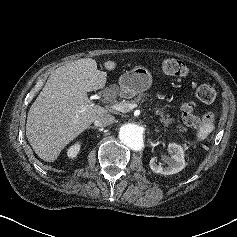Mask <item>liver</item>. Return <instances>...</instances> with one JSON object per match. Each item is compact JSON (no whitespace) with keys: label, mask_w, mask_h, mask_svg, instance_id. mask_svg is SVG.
<instances>
[{"label":"liver","mask_w":237,"mask_h":237,"mask_svg":"<svg viewBox=\"0 0 237 237\" xmlns=\"http://www.w3.org/2000/svg\"><path fill=\"white\" fill-rule=\"evenodd\" d=\"M116 66L114 61L104 62L108 71ZM106 81L107 73L98 70L92 58L68 63L51 73L27 116L26 136L38 157L55 161L65 146L107 113L87 96V92L102 89Z\"/></svg>","instance_id":"liver-1"}]
</instances>
